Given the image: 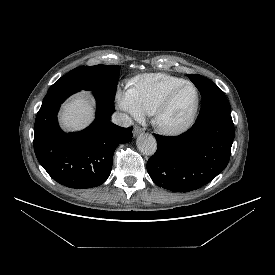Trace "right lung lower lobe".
I'll list each match as a JSON object with an SVG mask.
<instances>
[{
  "mask_svg": "<svg viewBox=\"0 0 275 275\" xmlns=\"http://www.w3.org/2000/svg\"><path fill=\"white\" fill-rule=\"evenodd\" d=\"M75 92L45 96L34 125V150L40 164L56 182L85 189L107 180L114 151L119 144L132 140L133 127L123 128L111 123L113 102L94 93L97 102L94 122L81 132H62L57 112L61 103Z\"/></svg>",
  "mask_w": 275,
  "mask_h": 275,
  "instance_id": "right-lung-lower-lobe-1",
  "label": "right lung lower lobe"
}]
</instances>
